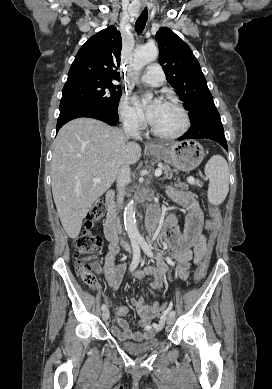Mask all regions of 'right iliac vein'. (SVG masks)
Masks as SVG:
<instances>
[{
	"instance_id": "1",
	"label": "right iliac vein",
	"mask_w": 272,
	"mask_h": 389,
	"mask_svg": "<svg viewBox=\"0 0 272 389\" xmlns=\"http://www.w3.org/2000/svg\"><path fill=\"white\" fill-rule=\"evenodd\" d=\"M102 318L104 321L108 320L109 318V310L108 309H105L102 313Z\"/></svg>"
}]
</instances>
